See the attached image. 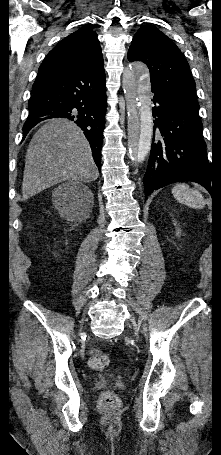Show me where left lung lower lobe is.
<instances>
[{"label":"left lung lower lobe","mask_w":221,"mask_h":455,"mask_svg":"<svg viewBox=\"0 0 221 455\" xmlns=\"http://www.w3.org/2000/svg\"><path fill=\"white\" fill-rule=\"evenodd\" d=\"M153 142L144 175L145 196L178 181H195L212 192V171L199 109L152 87Z\"/></svg>","instance_id":"left-lung-lower-lobe-1"}]
</instances>
